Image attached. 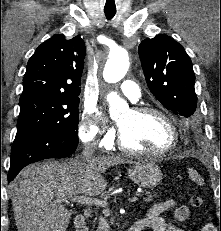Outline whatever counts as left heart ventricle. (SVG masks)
<instances>
[{
    "label": "left heart ventricle",
    "instance_id": "b2bd125f",
    "mask_svg": "<svg viewBox=\"0 0 221 231\" xmlns=\"http://www.w3.org/2000/svg\"><path fill=\"white\" fill-rule=\"evenodd\" d=\"M117 121L125 143L132 148L161 151L172 143L171 127L158 115H137L128 110Z\"/></svg>",
    "mask_w": 221,
    "mask_h": 231
}]
</instances>
